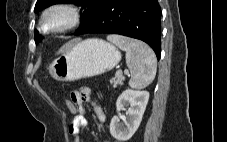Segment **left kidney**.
Segmentation results:
<instances>
[{"instance_id": "obj_1", "label": "left kidney", "mask_w": 227, "mask_h": 142, "mask_svg": "<svg viewBox=\"0 0 227 142\" xmlns=\"http://www.w3.org/2000/svg\"><path fill=\"white\" fill-rule=\"evenodd\" d=\"M148 100V91L127 89L122 92L116 102L117 112L119 113L124 106L129 108L125 126L120 124L118 116L111 120L110 133L115 139L125 142L134 135L142 121Z\"/></svg>"}]
</instances>
